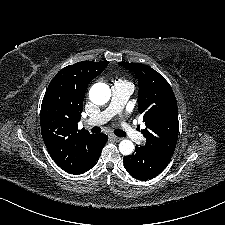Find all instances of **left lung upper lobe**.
I'll return each instance as SVG.
<instances>
[{
    "mask_svg": "<svg viewBox=\"0 0 225 225\" xmlns=\"http://www.w3.org/2000/svg\"><path fill=\"white\" fill-rule=\"evenodd\" d=\"M134 72L139 83L138 109L146 128L145 147L173 155L178 138V109L174 92L157 71L144 64L119 63Z\"/></svg>",
    "mask_w": 225,
    "mask_h": 225,
    "instance_id": "1",
    "label": "left lung upper lobe"
}]
</instances>
